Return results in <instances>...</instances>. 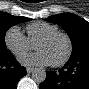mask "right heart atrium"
<instances>
[{
  "mask_svg": "<svg viewBox=\"0 0 89 89\" xmlns=\"http://www.w3.org/2000/svg\"><path fill=\"white\" fill-rule=\"evenodd\" d=\"M4 42L8 50L16 57H19L34 48V45L17 26H12L6 31Z\"/></svg>",
  "mask_w": 89,
  "mask_h": 89,
  "instance_id": "1",
  "label": "right heart atrium"
}]
</instances>
